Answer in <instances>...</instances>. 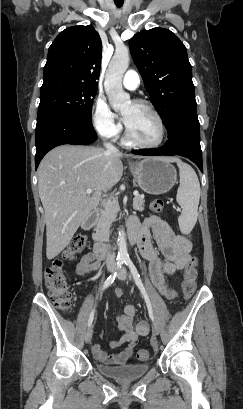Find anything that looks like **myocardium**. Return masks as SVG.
Instances as JSON below:
<instances>
[{"label":"myocardium","mask_w":243,"mask_h":409,"mask_svg":"<svg viewBox=\"0 0 243 409\" xmlns=\"http://www.w3.org/2000/svg\"><path fill=\"white\" fill-rule=\"evenodd\" d=\"M132 103H134L135 105L138 106H142L144 108H146L151 114L152 116L155 118V120L158 123L159 126V138L154 141V142H145L142 140L137 139L136 137L133 136V134L131 133L128 125L126 124V138L127 140L137 146H141V147H146V148H155V147H159L160 145L163 144V142L165 141L166 138V127H165V123L161 117V115L159 114V112L154 108V106L149 103L146 100L143 99H136L133 100Z\"/></svg>","instance_id":"f54148a6"}]
</instances>
